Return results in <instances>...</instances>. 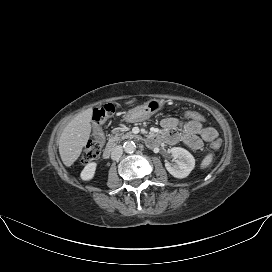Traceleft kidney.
Masks as SVG:
<instances>
[{
  "label": "left kidney",
  "mask_w": 272,
  "mask_h": 272,
  "mask_svg": "<svg viewBox=\"0 0 272 272\" xmlns=\"http://www.w3.org/2000/svg\"><path fill=\"white\" fill-rule=\"evenodd\" d=\"M170 153L174 157V164L165 163L167 171L176 178H185L194 169L195 159L193 155L184 148L173 147Z\"/></svg>",
  "instance_id": "1"
}]
</instances>
